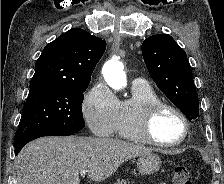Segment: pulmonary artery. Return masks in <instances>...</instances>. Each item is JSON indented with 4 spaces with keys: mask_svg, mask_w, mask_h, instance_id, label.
I'll list each match as a JSON object with an SVG mask.
<instances>
[{
    "mask_svg": "<svg viewBox=\"0 0 224 184\" xmlns=\"http://www.w3.org/2000/svg\"><path fill=\"white\" fill-rule=\"evenodd\" d=\"M134 82L135 83H139V84H143V80L141 79V78H136L135 80H134Z\"/></svg>",
    "mask_w": 224,
    "mask_h": 184,
    "instance_id": "e3ab8cb5",
    "label": "pulmonary artery"
}]
</instances>
